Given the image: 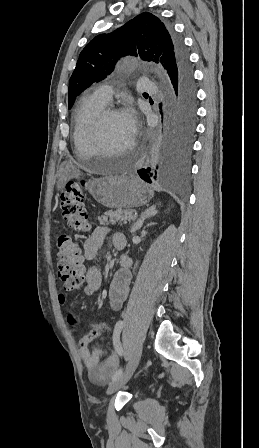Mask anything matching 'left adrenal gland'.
<instances>
[{
    "instance_id": "a2214340",
    "label": "left adrenal gland",
    "mask_w": 259,
    "mask_h": 448,
    "mask_svg": "<svg viewBox=\"0 0 259 448\" xmlns=\"http://www.w3.org/2000/svg\"><path fill=\"white\" fill-rule=\"evenodd\" d=\"M155 214H157L156 206H150V208H148L146 212H142L139 220H137L134 226H132L133 234L134 232H137V230H140V228H142L144 220H146V218H151V216H155Z\"/></svg>"
}]
</instances>
